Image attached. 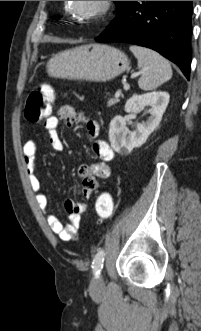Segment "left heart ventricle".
Segmentation results:
<instances>
[{
  "label": "left heart ventricle",
  "mask_w": 201,
  "mask_h": 331,
  "mask_svg": "<svg viewBox=\"0 0 201 331\" xmlns=\"http://www.w3.org/2000/svg\"><path fill=\"white\" fill-rule=\"evenodd\" d=\"M96 6V1H76L77 9L83 14L93 12Z\"/></svg>",
  "instance_id": "1"
}]
</instances>
